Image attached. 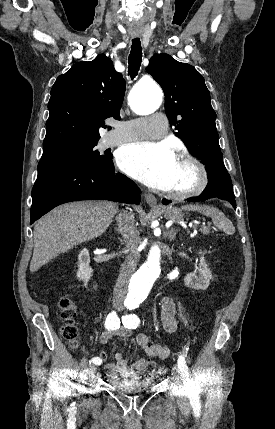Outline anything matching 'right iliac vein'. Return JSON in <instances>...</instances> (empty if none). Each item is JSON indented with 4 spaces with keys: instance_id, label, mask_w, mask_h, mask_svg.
Segmentation results:
<instances>
[{
    "instance_id": "1",
    "label": "right iliac vein",
    "mask_w": 275,
    "mask_h": 429,
    "mask_svg": "<svg viewBox=\"0 0 275 429\" xmlns=\"http://www.w3.org/2000/svg\"><path fill=\"white\" fill-rule=\"evenodd\" d=\"M89 374L93 375L96 372V366L94 364H90L88 368Z\"/></svg>"
}]
</instances>
